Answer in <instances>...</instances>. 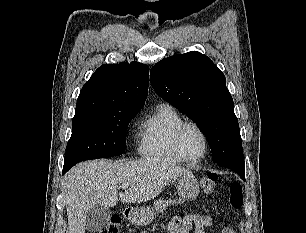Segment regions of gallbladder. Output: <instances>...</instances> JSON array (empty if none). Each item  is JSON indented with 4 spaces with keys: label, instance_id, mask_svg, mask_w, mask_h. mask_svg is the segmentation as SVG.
Instances as JSON below:
<instances>
[{
    "label": "gallbladder",
    "instance_id": "1",
    "mask_svg": "<svg viewBox=\"0 0 306 233\" xmlns=\"http://www.w3.org/2000/svg\"><path fill=\"white\" fill-rule=\"evenodd\" d=\"M109 208L100 204L94 205L86 215V229L90 232L99 231L109 222Z\"/></svg>",
    "mask_w": 306,
    "mask_h": 233
}]
</instances>
